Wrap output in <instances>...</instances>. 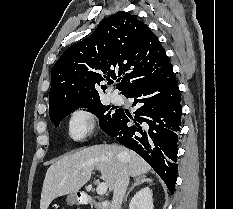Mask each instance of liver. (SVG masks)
<instances>
[{"instance_id": "6515ba94", "label": "liver", "mask_w": 233, "mask_h": 209, "mask_svg": "<svg viewBox=\"0 0 233 209\" xmlns=\"http://www.w3.org/2000/svg\"><path fill=\"white\" fill-rule=\"evenodd\" d=\"M121 164L127 166L132 177L144 175L151 169L139 155L118 145H94L64 155L46 172L40 209H48L57 197L77 193L90 180L94 169L100 171L112 191Z\"/></svg>"}]
</instances>
